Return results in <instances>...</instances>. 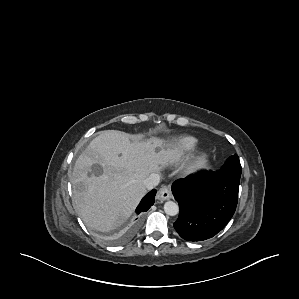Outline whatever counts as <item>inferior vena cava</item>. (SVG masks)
Segmentation results:
<instances>
[{
  "label": "inferior vena cava",
  "instance_id": "obj_1",
  "mask_svg": "<svg viewBox=\"0 0 299 299\" xmlns=\"http://www.w3.org/2000/svg\"><path fill=\"white\" fill-rule=\"evenodd\" d=\"M159 182L160 175L157 173H152L143 181V184L147 190H151L154 187H156L159 184Z\"/></svg>",
  "mask_w": 299,
  "mask_h": 299
}]
</instances>
